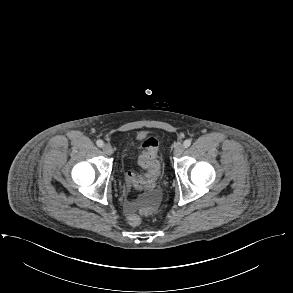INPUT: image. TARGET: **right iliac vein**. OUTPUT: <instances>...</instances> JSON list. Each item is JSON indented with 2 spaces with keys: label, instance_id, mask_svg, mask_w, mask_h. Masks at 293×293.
Returning a JSON list of instances; mask_svg holds the SVG:
<instances>
[{
  "label": "right iliac vein",
  "instance_id": "obj_1",
  "mask_svg": "<svg viewBox=\"0 0 293 293\" xmlns=\"http://www.w3.org/2000/svg\"><path fill=\"white\" fill-rule=\"evenodd\" d=\"M102 150H103V152H104L106 155H112V154H113V148H112V146L109 145V144H105V145H103Z\"/></svg>",
  "mask_w": 293,
  "mask_h": 293
}]
</instances>
